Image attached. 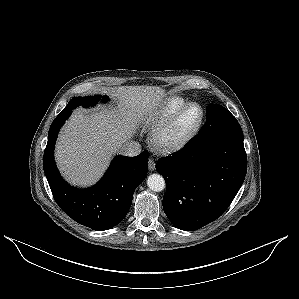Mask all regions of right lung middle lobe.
Wrapping results in <instances>:
<instances>
[{
	"label": "right lung middle lobe",
	"mask_w": 299,
	"mask_h": 299,
	"mask_svg": "<svg viewBox=\"0 0 299 299\" xmlns=\"http://www.w3.org/2000/svg\"><path fill=\"white\" fill-rule=\"evenodd\" d=\"M100 100H101L100 95L93 96V97H75L69 101L68 105L64 109H74L75 107H77L79 105L90 106V105H94L95 103H97ZM106 100H107V97L104 96L102 98V102L106 101Z\"/></svg>",
	"instance_id": "dd1d6c3e"
}]
</instances>
